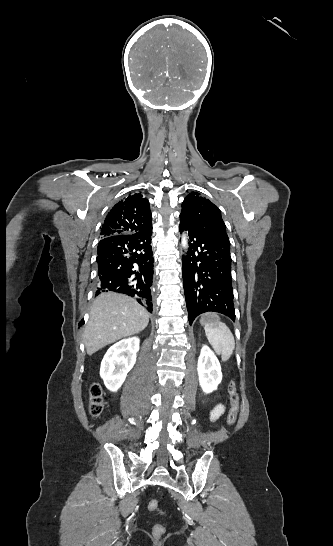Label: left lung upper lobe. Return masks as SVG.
Instances as JSON below:
<instances>
[{
    "label": "left lung upper lobe",
    "instance_id": "obj_1",
    "mask_svg": "<svg viewBox=\"0 0 333 546\" xmlns=\"http://www.w3.org/2000/svg\"><path fill=\"white\" fill-rule=\"evenodd\" d=\"M180 218L197 227L226 232L219 208L197 192L184 199Z\"/></svg>",
    "mask_w": 333,
    "mask_h": 546
}]
</instances>
